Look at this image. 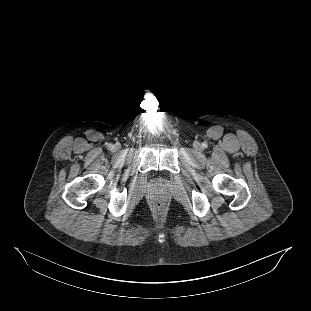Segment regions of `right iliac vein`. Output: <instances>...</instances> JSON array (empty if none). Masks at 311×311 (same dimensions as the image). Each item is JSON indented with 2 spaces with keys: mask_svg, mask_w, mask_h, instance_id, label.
I'll use <instances>...</instances> for the list:
<instances>
[{
  "mask_svg": "<svg viewBox=\"0 0 311 311\" xmlns=\"http://www.w3.org/2000/svg\"><path fill=\"white\" fill-rule=\"evenodd\" d=\"M115 150H119L121 148L120 144H115L114 146Z\"/></svg>",
  "mask_w": 311,
  "mask_h": 311,
  "instance_id": "obj_1",
  "label": "right iliac vein"
}]
</instances>
